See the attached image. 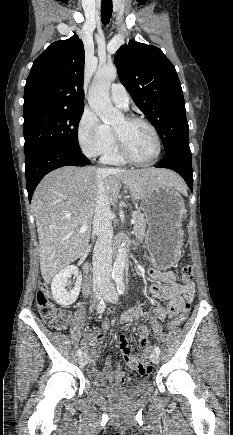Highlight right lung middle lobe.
I'll return each instance as SVG.
<instances>
[{
	"instance_id": "dd1d6c3e",
	"label": "right lung middle lobe",
	"mask_w": 233,
	"mask_h": 435,
	"mask_svg": "<svg viewBox=\"0 0 233 435\" xmlns=\"http://www.w3.org/2000/svg\"><path fill=\"white\" fill-rule=\"evenodd\" d=\"M84 109H55L24 117L25 153L41 146L53 145L79 151L78 125Z\"/></svg>"
}]
</instances>
